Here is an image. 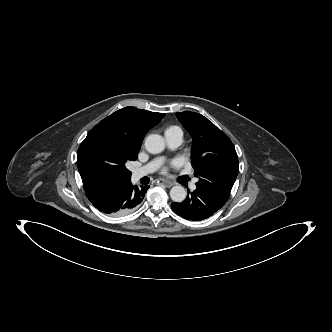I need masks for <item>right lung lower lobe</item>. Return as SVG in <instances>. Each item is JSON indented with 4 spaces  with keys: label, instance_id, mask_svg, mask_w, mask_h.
Listing matches in <instances>:
<instances>
[{
    "label": "right lung lower lobe",
    "instance_id": "obj_1",
    "mask_svg": "<svg viewBox=\"0 0 332 332\" xmlns=\"http://www.w3.org/2000/svg\"><path fill=\"white\" fill-rule=\"evenodd\" d=\"M149 186L138 188L131 179L120 182H96L85 189L90 202L101 212L120 216L134 211L142 202Z\"/></svg>",
    "mask_w": 332,
    "mask_h": 332
}]
</instances>
